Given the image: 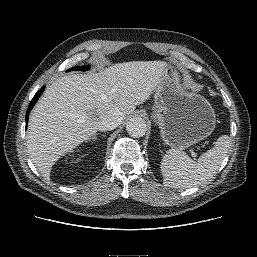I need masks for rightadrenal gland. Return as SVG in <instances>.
Returning <instances> with one entry per match:
<instances>
[{
  "label": "right adrenal gland",
  "instance_id": "1",
  "mask_svg": "<svg viewBox=\"0 0 257 257\" xmlns=\"http://www.w3.org/2000/svg\"><path fill=\"white\" fill-rule=\"evenodd\" d=\"M97 139V133L95 132L94 135L89 139V141L95 142Z\"/></svg>",
  "mask_w": 257,
  "mask_h": 257
}]
</instances>
